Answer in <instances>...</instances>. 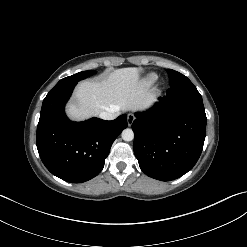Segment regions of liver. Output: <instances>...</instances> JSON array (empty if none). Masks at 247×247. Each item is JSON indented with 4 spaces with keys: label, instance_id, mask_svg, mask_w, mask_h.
<instances>
[{
    "label": "liver",
    "instance_id": "obj_1",
    "mask_svg": "<svg viewBox=\"0 0 247 247\" xmlns=\"http://www.w3.org/2000/svg\"><path fill=\"white\" fill-rule=\"evenodd\" d=\"M75 100L67 105L73 120H84L103 111H137L150 107L156 95L140 79L137 68H121L102 81H82L75 90Z\"/></svg>",
    "mask_w": 247,
    "mask_h": 247
}]
</instances>
